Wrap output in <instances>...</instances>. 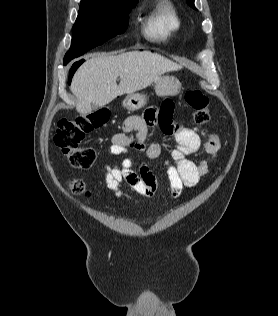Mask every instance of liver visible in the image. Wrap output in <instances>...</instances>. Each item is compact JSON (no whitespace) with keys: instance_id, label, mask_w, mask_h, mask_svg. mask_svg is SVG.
<instances>
[{"instance_id":"liver-1","label":"liver","mask_w":278,"mask_h":316,"mask_svg":"<svg viewBox=\"0 0 278 316\" xmlns=\"http://www.w3.org/2000/svg\"><path fill=\"white\" fill-rule=\"evenodd\" d=\"M180 68V65L149 51L116 56L98 54L76 71L70 90L77 97V111L86 115L92 111V106L102 107L117 96L145 89L162 74ZM118 77L119 85L116 83Z\"/></svg>"}]
</instances>
